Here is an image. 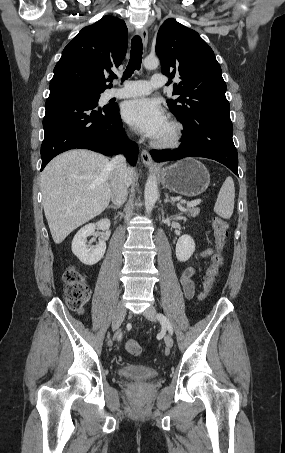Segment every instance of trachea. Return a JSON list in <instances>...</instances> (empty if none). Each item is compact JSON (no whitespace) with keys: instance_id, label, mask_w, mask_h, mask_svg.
<instances>
[{"instance_id":"trachea-1","label":"trachea","mask_w":285,"mask_h":453,"mask_svg":"<svg viewBox=\"0 0 285 453\" xmlns=\"http://www.w3.org/2000/svg\"><path fill=\"white\" fill-rule=\"evenodd\" d=\"M142 40L140 36L136 35L131 41V55L128 66L123 73V80L131 77L135 70H140L142 62ZM116 78V75L111 77Z\"/></svg>"}]
</instances>
